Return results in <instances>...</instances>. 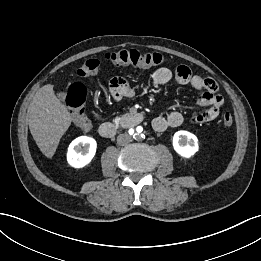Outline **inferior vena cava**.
<instances>
[{
    "label": "inferior vena cava",
    "mask_w": 261,
    "mask_h": 261,
    "mask_svg": "<svg viewBox=\"0 0 261 261\" xmlns=\"http://www.w3.org/2000/svg\"><path fill=\"white\" fill-rule=\"evenodd\" d=\"M131 141V136L124 133V134H119L117 137V143L119 145H125Z\"/></svg>",
    "instance_id": "602c4592"
}]
</instances>
